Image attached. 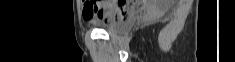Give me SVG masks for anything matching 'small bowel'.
<instances>
[{
  "instance_id": "1",
  "label": "small bowel",
  "mask_w": 235,
  "mask_h": 62,
  "mask_svg": "<svg viewBox=\"0 0 235 62\" xmlns=\"http://www.w3.org/2000/svg\"><path fill=\"white\" fill-rule=\"evenodd\" d=\"M125 7L133 9L136 3H122ZM116 4L108 2L103 7H94L85 4L83 7V19L89 22H112L117 20L115 17ZM124 19V18H123Z\"/></svg>"
}]
</instances>
